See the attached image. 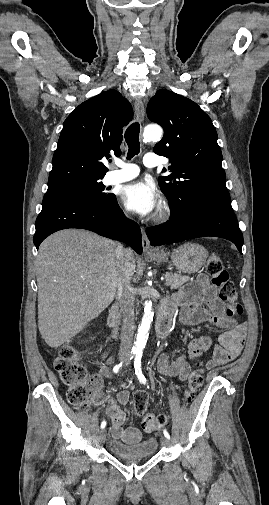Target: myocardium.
I'll return each instance as SVG.
<instances>
[{
	"instance_id": "f54148a6",
	"label": "myocardium",
	"mask_w": 269,
	"mask_h": 505,
	"mask_svg": "<svg viewBox=\"0 0 269 505\" xmlns=\"http://www.w3.org/2000/svg\"><path fill=\"white\" fill-rule=\"evenodd\" d=\"M171 215V208L167 203H163L156 217L157 221H165Z\"/></svg>"
}]
</instances>
